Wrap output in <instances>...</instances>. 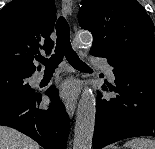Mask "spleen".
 Returning a JSON list of instances; mask_svg holds the SVG:
<instances>
[{
	"mask_svg": "<svg viewBox=\"0 0 155 149\" xmlns=\"http://www.w3.org/2000/svg\"><path fill=\"white\" fill-rule=\"evenodd\" d=\"M127 149H155V140L149 138H134L124 144Z\"/></svg>",
	"mask_w": 155,
	"mask_h": 149,
	"instance_id": "1",
	"label": "spleen"
}]
</instances>
